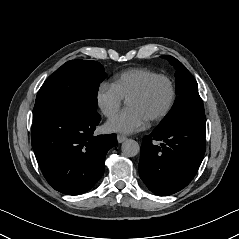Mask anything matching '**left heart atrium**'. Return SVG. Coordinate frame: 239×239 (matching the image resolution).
I'll use <instances>...</instances> for the list:
<instances>
[{"instance_id": "1", "label": "left heart atrium", "mask_w": 239, "mask_h": 239, "mask_svg": "<svg viewBox=\"0 0 239 239\" xmlns=\"http://www.w3.org/2000/svg\"><path fill=\"white\" fill-rule=\"evenodd\" d=\"M146 118L133 107H127L112 117L108 123L109 131L133 133L144 128Z\"/></svg>"}]
</instances>
